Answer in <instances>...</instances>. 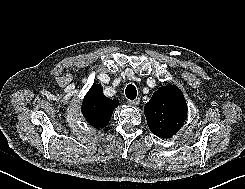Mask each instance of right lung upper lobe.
Returning <instances> with one entry per match:
<instances>
[{"label": "right lung upper lobe", "mask_w": 245, "mask_h": 189, "mask_svg": "<svg viewBox=\"0 0 245 189\" xmlns=\"http://www.w3.org/2000/svg\"><path fill=\"white\" fill-rule=\"evenodd\" d=\"M118 104L117 100L107 98L103 94L100 85H94L84 97L81 109L90 125L95 128H103L109 123Z\"/></svg>", "instance_id": "obj_1"}]
</instances>
